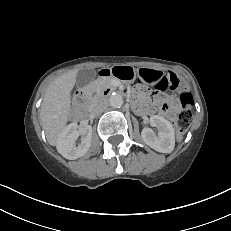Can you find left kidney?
I'll return each mask as SVG.
<instances>
[{
  "label": "left kidney",
  "instance_id": "5707ae66",
  "mask_svg": "<svg viewBox=\"0 0 231 231\" xmlns=\"http://www.w3.org/2000/svg\"><path fill=\"white\" fill-rule=\"evenodd\" d=\"M150 125L157 127L158 136L151 128L145 127L141 133L143 141L158 152L171 153L175 146V133L172 124L161 116L152 115Z\"/></svg>",
  "mask_w": 231,
  "mask_h": 231
}]
</instances>
